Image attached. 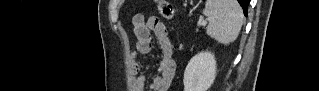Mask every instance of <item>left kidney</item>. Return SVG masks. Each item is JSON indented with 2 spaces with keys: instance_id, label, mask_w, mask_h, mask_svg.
Listing matches in <instances>:
<instances>
[{
  "instance_id": "left-kidney-1",
  "label": "left kidney",
  "mask_w": 319,
  "mask_h": 91,
  "mask_svg": "<svg viewBox=\"0 0 319 91\" xmlns=\"http://www.w3.org/2000/svg\"><path fill=\"white\" fill-rule=\"evenodd\" d=\"M216 60L211 52H200L189 61L184 72V91H207L216 77Z\"/></svg>"
}]
</instances>
